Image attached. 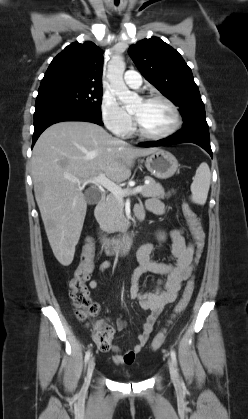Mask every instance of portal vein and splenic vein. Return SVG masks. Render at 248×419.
Instances as JSON below:
<instances>
[{
	"label": "portal vein and splenic vein",
	"instance_id": "portal-vein-and-splenic-vein-1",
	"mask_svg": "<svg viewBox=\"0 0 248 419\" xmlns=\"http://www.w3.org/2000/svg\"><path fill=\"white\" fill-rule=\"evenodd\" d=\"M74 182L78 184H88L93 183L97 185H101L107 190H109L114 196H116L119 199H122L126 195L130 194H137L142 191V186H137L134 189H122L120 186L115 184L113 181L108 179L103 173H100L97 177H91L83 180H73Z\"/></svg>",
	"mask_w": 248,
	"mask_h": 419
}]
</instances>
